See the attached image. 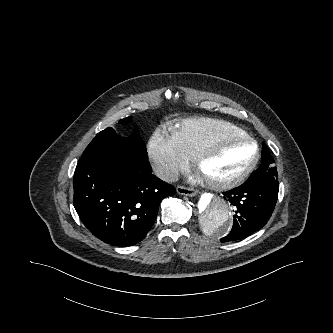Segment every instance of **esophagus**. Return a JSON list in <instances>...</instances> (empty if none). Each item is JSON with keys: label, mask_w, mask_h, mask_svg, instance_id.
Listing matches in <instances>:
<instances>
[{"label": "esophagus", "mask_w": 333, "mask_h": 333, "mask_svg": "<svg viewBox=\"0 0 333 333\" xmlns=\"http://www.w3.org/2000/svg\"><path fill=\"white\" fill-rule=\"evenodd\" d=\"M176 191L180 195H186L190 197H194L196 195V192L194 190L184 186H177Z\"/></svg>", "instance_id": "34e87169"}]
</instances>
